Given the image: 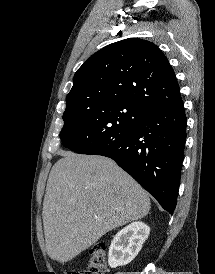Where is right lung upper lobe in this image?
<instances>
[{
  "instance_id": "cb5924a9",
  "label": "right lung upper lobe",
  "mask_w": 215,
  "mask_h": 274,
  "mask_svg": "<svg viewBox=\"0 0 215 274\" xmlns=\"http://www.w3.org/2000/svg\"><path fill=\"white\" fill-rule=\"evenodd\" d=\"M104 100L132 103L145 111L182 101L166 56L153 43L138 38L104 47L75 73L66 102Z\"/></svg>"
}]
</instances>
